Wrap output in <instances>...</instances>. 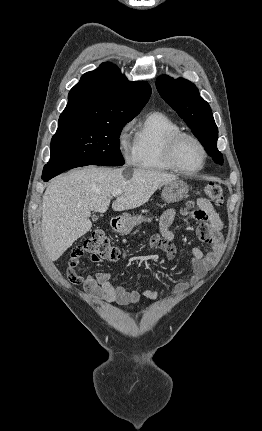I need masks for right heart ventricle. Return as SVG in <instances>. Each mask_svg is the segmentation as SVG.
Segmentation results:
<instances>
[{"mask_svg":"<svg viewBox=\"0 0 262 431\" xmlns=\"http://www.w3.org/2000/svg\"><path fill=\"white\" fill-rule=\"evenodd\" d=\"M182 133L170 117L161 112H150L134 126L133 160L142 169L176 171L166 157L171 136Z\"/></svg>","mask_w":262,"mask_h":431,"instance_id":"obj_1","label":"right heart ventricle"}]
</instances>
